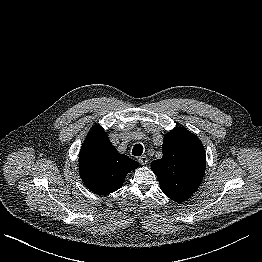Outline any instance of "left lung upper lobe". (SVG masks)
Segmentation results:
<instances>
[{"instance_id": "left-lung-upper-lobe-1", "label": "left lung upper lobe", "mask_w": 262, "mask_h": 262, "mask_svg": "<svg viewBox=\"0 0 262 262\" xmlns=\"http://www.w3.org/2000/svg\"><path fill=\"white\" fill-rule=\"evenodd\" d=\"M163 157L151 163L160 189L175 202L188 199L204 177L206 158L202 142L184 127L164 136Z\"/></svg>"}]
</instances>
